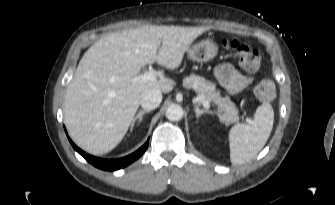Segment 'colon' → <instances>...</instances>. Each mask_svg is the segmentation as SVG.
I'll return each instance as SVG.
<instances>
[{
  "instance_id": "5ec220e1",
  "label": "colon",
  "mask_w": 335,
  "mask_h": 205,
  "mask_svg": "<svg viewBox=\"0 0 335 205\" xmlns=\"http://www.w3.org/2000/svg\"><path fill=\"white\" fill-rule=\"evenodd\" d=\"M227 49L236 51L240 65L248 72H256L261 64V55L258 49L248 44H240L236 40L227 41L225 43ZM255 97L263 102L274 99L276 90L273 82L270 80H262L254 87Z\"/></svg>"
}]
</instances>
